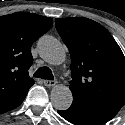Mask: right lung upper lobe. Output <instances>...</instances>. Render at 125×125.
I'll list each match as a JSON object with an SVG mask.
<instances>
[{
  "label": "right lung upper lobe",
  "mask_w": 125,
  "mask_h": 125,
  "mask_svg": "<svg viewBox=\"0 0 125 125\" xmlns=\"http://www.w3.org/2000/svg\"><path fill=\"white\" fill-rule=\"evenodd\" d=\"M53 25L52 18L18 12L0 17V100L26 93L34 84L32 44Z\"/></svg>",
  "instance_id": "1"
}]
</instances>
